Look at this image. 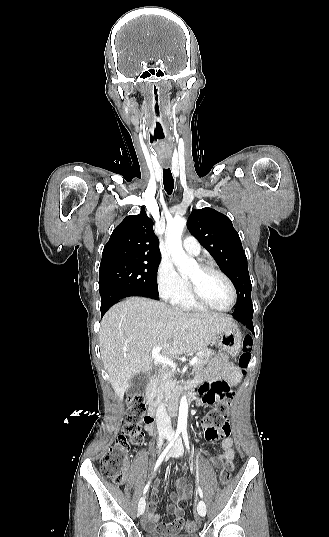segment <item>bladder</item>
<instances>
[{
  "label": "bladder",
  "instance_id": "obj_1",
  "mask_svg": "<svg viewBox=\"0 0 329 537\" xmlns=\"http://www.w3.org/2000/svg\"><path fill=\"white\" fill-rule=\"evenodd\" d=\"M144 537H198V535L196 533L169 534V533L146 532Z\"/></svg>",
  "mask_w": 329,
  "mask_h": 537
}]
</instances>
